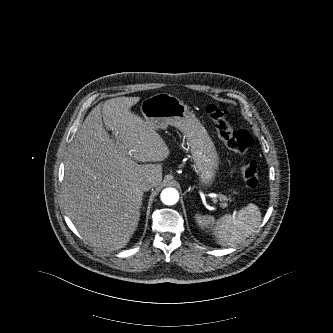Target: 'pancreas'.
<instances>
[{
	"mask_svg": "<svg viewBox=\"0 0 333 333\" xmlns=\"http://www.w3.org/2000/svg\"><path fill=\"white\" fill-rule=\"evenodd\" d=\"M222 200H224V201H228V200H230L229 198H227L226 196H225V199H223V198H221Z\"/></svg>",
	"mask_w": 333,
	"mask_h": 333,
	"instance_id": "cf45deb5",
	"label": "pancreas"
}]
</instances>
